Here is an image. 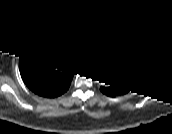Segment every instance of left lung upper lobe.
<instances>
[{
  "label": "left lung upper lobe",
  "instance_id": "obj_1",
  "mask_svg": "<svg viewBox=\"0 0 172 134\" xmlns=\"http://www.w3.org/2000/svg\"><path fill=\"white\" fill-rule=\"evenodd\" d=\"M110 73L113 82L104 91L113 95L125 94L138 87L145 76L141 61L131 52L118 51L111 59Z\"/></svg>",
  "mask_w": 172,
  "mask_h": 134
}]
</instances>
